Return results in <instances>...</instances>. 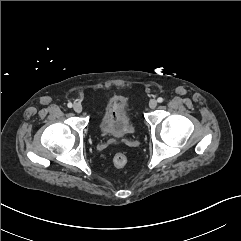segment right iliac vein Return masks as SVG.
Here are the masks:
<instances>
[{
  "label": "right iliac vein",
  "instance_id": "right-iliac-vein-1",
  "mask_svg": "<svg viewBox=\"0 0 241 241\" xmlns=\"http://www.w3.org/2000/svg\"><path fill=\"white\" fill-rule=\"evenodd\" d=\"M73 109L76 113H81L82 112V105L80 103H75L73 106Z\"/></svg>",
  "mask_w": 241,
  "mask_h": 241
}]
</instances>
